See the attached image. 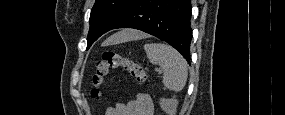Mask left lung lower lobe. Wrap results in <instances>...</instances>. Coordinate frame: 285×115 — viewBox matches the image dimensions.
Instances as JSON below:
<instances>
[{"label": "left lung lower lobe", "mask_w": 285, "mask_h": 115, "mask_svg": "<svg viewBox=\"0 0 285 115\" xmlns=\"http://www.w3.org/2000/svg\"><path fill=\"white\" fill-rule=\"evenodd\" d=\"M191 0H133L109 26L134 28L164 40L190 62ZM107 31V32H108Z\"/></svg>", "instance_id": "0a47b994"}]
</instances>
